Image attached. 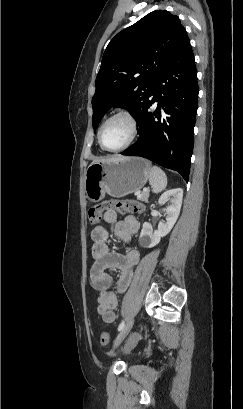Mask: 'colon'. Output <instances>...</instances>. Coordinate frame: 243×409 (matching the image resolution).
Returning <instances> with one entry per match:
<instances>
[{
	"label": "colon",
	"instance_id": "colon-1",
	"mask_svg": "<svg viewBox=\"0 0 243 409\" xmlns=\"http://www.w3.org/2000/svg\"><path fill=\"white\" fill-rule=\"evenodd\" d=\"M116 210L119 214H140L143 212V205L134 199L109 200L93 205L88 209V220L91 225L97 224L104 211ZM109 343V336L106 332L100 335V344L106 347Z\"/></svg>",
	"mask_w": 243,
	"mask_h": 409
}]
</instances>
